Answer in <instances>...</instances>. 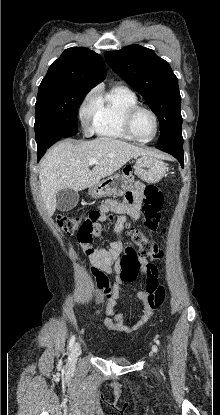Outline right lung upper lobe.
<instances>
[{
    "label": "right lung upper lobe",
    "instance_id": "cb5924a9",
    "mask_svg": "<svg viewBox=\"0 0 220 415\" xmlns=\"http://www.w3.org/2000/svg\"><path fill=\"white\" fill-rule=\"evenodd\" d=\"M106 67L101 56L85 47L66 49L49 67L40 86L91 89L102 82Z\"/></svg>",
    "mask_w": 220,
    "mask_h": 415
}]
</instances>
